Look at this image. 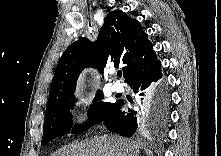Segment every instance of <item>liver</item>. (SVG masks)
<instances>
[{
  "instance_id": "liver-1",
  "label": "liver",
  "mask_w": 221,
  "mask_h": 156,
  "mask_svg": "<svg viewBox=\"0 0 221 156\" xmlns=\"http://www.w3.org/2000/svg\"><path fill=\"white\" fill-rule=\"evenodd\" d=\"M139 145L119 136H102L71 143L54 156H138Z\"/></svg>"
}]
</instances>
